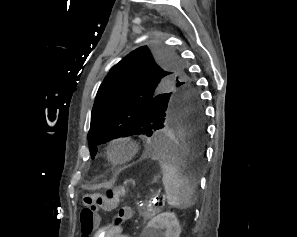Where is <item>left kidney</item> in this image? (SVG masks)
Returning <instances> with one entry per match:
<instances>
[{
    "label": "left kidney",
    "mask_w": 297,
    "mask_h": 237,
    "mask_svg": "<svg viewBox=\"0 0 297 237\" xmlns=\"http://www.w3.org/2000/svg\"><path fill=\"white\" fill-rule=\"evenodd\" d=\"M180 233L181 227L176 214L163 212L148 222L143 237H179Z\"/></svg>",
    "instance_id": "left-kidney-1"
}]
</instances>
